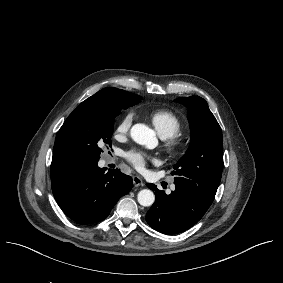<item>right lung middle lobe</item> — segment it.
I'll return each instance as SVG.
<instances>
[{
  "label": "right lung middle lobe",
  "mask_w": 283,
  "mask_h": 283,
  "mask_svg": "<svg viewBox=\"0 0 283 283\" xmlns=\"http://www.w3.org/2000/svg\"><path fill=\"white\" fill-rule=\"evenodd\" d=\"M142 98L124 99L98 109L83 110L70 118L63 130L65 145L76 163L98 161L101 145L111 146L114 120L122 109Z\"/></svg>",
  "instance_id": "1"
}]
</instances>
